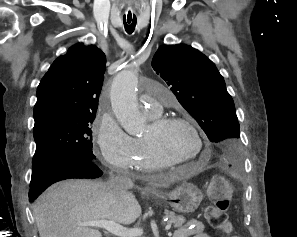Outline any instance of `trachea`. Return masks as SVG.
I'll return each mask as SVG.
<instances>
[{"instance_id": "trachea-1", "label": "trachea", "mask_w": 297, "mask_h": 237, "mask_svg": "<svg viewBox=\"0 0 297 237\" xmlns=\"http://www.w3.org/2000/svg\"><path fill=\"white\" fill-rule=\"evenodd\" d=\"M123 22L126 32L132 34L136 26V19H124Z\"/></svg>"}]
</instances>
